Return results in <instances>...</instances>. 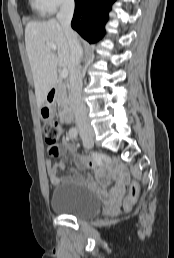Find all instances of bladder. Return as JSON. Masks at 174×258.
Returning a JSON list of instances; mask_svg holds the SVG:
<instances>
[{
	"label": "bladder",
	"mask_w": 174,
	"mask_h": 258,
	"mask_svg": "<svg viewBox=\"0 0 174 258\" xmlns=\"http://www.w3.org/2000/svg\"><path fill=\"white\" fill-rule=\"evenodd\" d=\"M50 207L53 211L76 218H89L100 214L102 202L98 194L72 178L61 179L54 186Z\"/></svg>",
	"instance_id": "1"
}]
</instances>
